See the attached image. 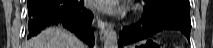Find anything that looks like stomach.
<instances>
[{
    "label": "stomach",
    "mask_w": 213,
    "mask_h": 48,
    "mask_svg": "<svg viewBox=\"0 0 213 48\" xmlns=\"http://www.w3.org/2000/svg\"><path fill=\"white\" fill-rule=\"evenodd\" d=\"M146 43H147V41H143V42L137 44L136 47L145 46ZM130 48H133V47H130Z\"/></svg>",
    "instance_id": "1"
}]
</instances>
